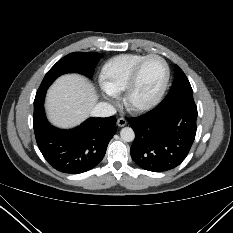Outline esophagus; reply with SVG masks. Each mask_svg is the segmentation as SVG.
<instances>
[{
	"instance_id": "34e87169",
	"label": "esophagus",
	"mask_w": 233,
	"mask_h": 233,
	"mask_svg": "<svg viewBox=\"0 0 233 233\" xmlns=\"http://www.w3.org/2000/svg\"><path fill=\"white\" fill-rule=\"evenodd\" d=\"M126 124H127V120L124 119V118H119V119L117 120V125H118L119 127H123V126H125Z\"/></svg>"
}]
</instances>
